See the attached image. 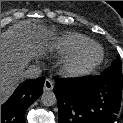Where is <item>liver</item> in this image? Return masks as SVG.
I'll return each mask as SVG.
<instances>
[{"label":"liver","mask_w":123,"mask_h":123,"mask_svg":"<svg viewBox=\"0 0 123 123\" xmlns=\"http://www.w3.org/2000/svg\"><path fill=\"white\" fill-rule=\"evenodd\" d=\"M53 39V30L28 20L1 33V104L23 81L29 62L52 48Z\"/></svg>","instance_id":"6515ba94"}]
</instances>
